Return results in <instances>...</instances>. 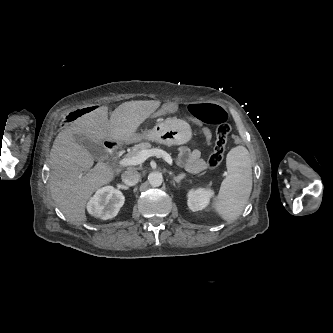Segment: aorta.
<instances>
[{
	"label": "aorta",
	"instance_id": "obj_1",
	"mask_svg": "<svg viewBox=\"0 0 333 333\" xmlns=\"http://www.w3.org/2000/svg\"><path fill=\"white\" fill-rule=\"evenodd\" d=\"M148 181L151 186L153 187H158L162 184L163 182V176L162 173L159 171H153L148 175Z\"/></svg>",
	"mask_w": 333,
	"mask_h": 333
}]
</instances>
